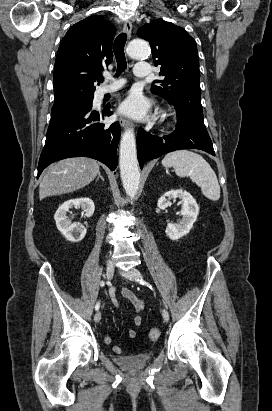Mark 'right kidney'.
I'll return each mask as SVG.
<instances>
[{
  "label": "right kidney",
  "mask_w": 272,
  "mask_h": 411,
  "mask_svg": "<svg viewBox=\"0 0 272 411\" xmlns=\"http://www.w3.org/2000/svg\"><path fill=\"white\" fill-rule=\"evenodd\" d=\"M79 207L83 210L86 217H91L94 213L95 206L90 198H76L64 202L57 209L54 219L56 226L62 235L71 242H79L86 235V228L80 223H73L67 218V212L70 208Z\"/></svg>",
  "instance_id": "1"
}]
</instances>
